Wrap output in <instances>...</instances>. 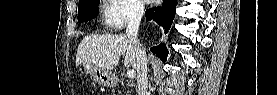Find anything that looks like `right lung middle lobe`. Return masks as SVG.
I'll list each match as a JSON object with an SVG mask.
<instances>
[{"label":"right lung middle lobe","instance_id":"dd1d6c3e","mask_svg":"<svg viewBox=\"0 0 277 95\" xmlns=\"http://www.w3.org/2000/svg\"><path fill=\"white\" fill-rule=\"evenodd\" d=\"M99 0H82L78 6V22H87L98 15Z\"/></svg>","mask_w":277,"mask_h":95}]
</instances>
